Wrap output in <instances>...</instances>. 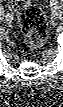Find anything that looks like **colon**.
<instances>
[{"instance_id": "5ec220e1", "label": "colon", "mask_w": 63, "mask_h": 107, "mask_svg": "<svg viewBox=\"0 0 63 107\" xmlns=\"http://www.w3.org/2000/svg\"><path fill=\"white\" fill-rule=\"evenodd\" d=\"M13 7L18 15L26 45L37 49L47 36V26L41 8L30 0H14Z\"/></svg>"}]
</instances>
